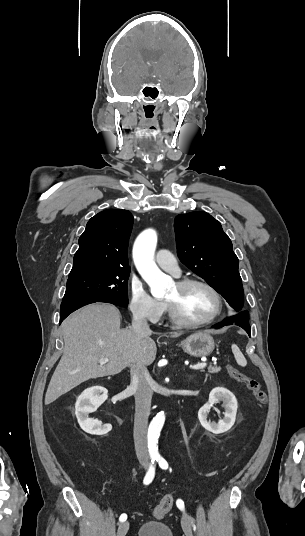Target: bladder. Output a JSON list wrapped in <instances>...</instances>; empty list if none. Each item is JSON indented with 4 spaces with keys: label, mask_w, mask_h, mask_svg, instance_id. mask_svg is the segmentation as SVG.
<instances>
[{
    "label": "bladder",
    "mask_w": 305,
    "mask_h": 536,
    "mask_svg": "<svg viewBox=\"0 0 305 536\" xmlns=\"http://www.w3.org/2000/svg\"><path fill=\"white\" fill-rule=\"evenodd\" d=\"M135 536H174L165 521L147 520L137 527Z\"/></svg>",
    "instance_id": "obj_1"
}]
</instances>
